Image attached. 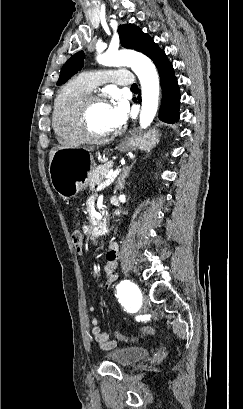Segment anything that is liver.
Segmentation results:
<instances>
[{"instance_id": "obj_1", "label": "liver", "mask_w": 243, "mask_h": 409, "mask_svg": "<svg viewBox=\"0 0 243 409\" xmlns=\"http://www.w3.org/2000/svg\"><path fill=\"white\" fill-rule=\"evenodd\" d=\"M59 149H62V147H54L53 149L50 150V152H49V163H50V161H51L53 155L55 154V152H56L57 150H59ZM84 150H86V151H92V150H94V148H84Z\"/></svg>"}]
</instances>
